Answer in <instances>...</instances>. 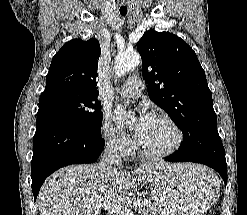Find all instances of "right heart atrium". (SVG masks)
Returning a JSON list of instances; mask_svg holds the SVG:
<instances>
[{"label":"right heart atrium","mask_w":247,"mask_h":215,"mask_svg":"<svg viewBox=\"0 0 247 215\" xmlns=\"http://www.w3.org/2000/svg\"><path fill=\"white\" fill-rule=\"evenodd\" d=\"M101 134L108 148L119 153L127 154L132 147V140L128 134L117 127L107 114L101 121Z\"/></svg>","instance_id":"right-heart-atrium-1"}]
</instances>
